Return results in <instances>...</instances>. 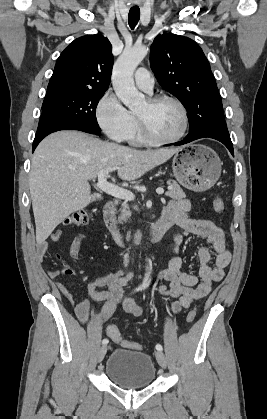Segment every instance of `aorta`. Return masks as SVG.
<instances>
[{"label": "aorta", "instance_id": "762f6f07", "mask_svg": "<svg viewBox=\"0 0 267 419\" xmlns=\"http://www.w3.org/2000/svg\"><path fill=\"white\" fill-rule=\"evenodd\" d=\"M147 52L145 46L125 49L113 67L112 83L115 93L123 104L131 110L140 107L145 101V96L135 87L133 73L147 55ZM150 282V275L147 272L142 285L148 287Z\"/></svg>", "mask_w": 267, "mask_h": 419}]
</instances>
